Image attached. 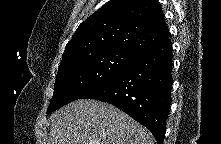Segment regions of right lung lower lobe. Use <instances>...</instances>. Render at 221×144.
I'll list each match as a JSON object with an SVG mask.
<instances>
[{"label": "right lung lower lobe", "mask_w": 221, "mask_h": 144, "mask_svg": "<svg viewBox=\"0 0 221 144\" xmlns=\"http://www.w3.org/2000/svg\"><path fill=\"white\" fill-rule=\"evenodd\" d=\"M169 37L143 51L121 72L81 99L110 103L148 128L158 144L166 133L172 89Z\"/></svg>", "instance_id": "98d812e1"}]
</instances>
